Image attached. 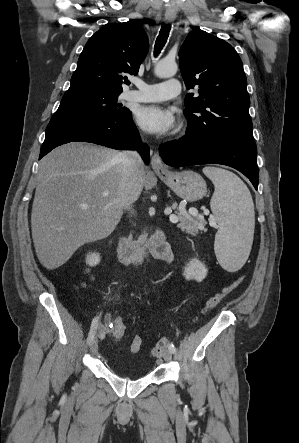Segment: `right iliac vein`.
Segmentation results:
<instances>
[{
  "instance_id": "right-iliac-vein-1",
  "label": "right iliac vein",
  "mask_w": 299,
  "mask_h": 443,
  "mask_svg": "<svg viewBox=\"0 0 299 443\" xmlns=\"http://www.w3.org/2000/svg\"><path fill=\"white\" fill-rule=\"evenodd\" d=\"M97 351H98V343L95 340V341H93V343L90 346V353L94 355L97 353Z\"/></svg>"
}]
</instances>
